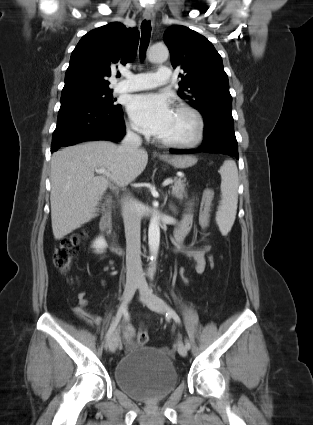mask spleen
Listing matches in <instances>:
<instances>
[{
    "mask_svg": "<svg viewBox=\"0 0 313 425\" xmlns=\"http://www.w3.org/2000/svg\"><path fill=\"white\" fill-rule=\"evenodd\" d=\"M219 173L221 175V202L216 213V222L222 235H227L234 224L237 213L239 178L235 161H224Z\"/></svg>",
    "mask_w": 313,
    "mask_h": 425,
    "instance_id": "obj_1",
    "label": "spleen"
}]
</instances>
